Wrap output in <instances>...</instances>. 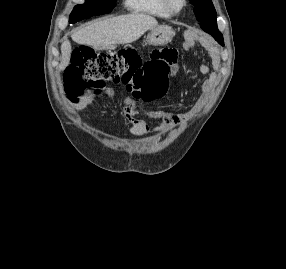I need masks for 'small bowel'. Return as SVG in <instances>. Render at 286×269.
Segmentation results:
<instances>
[{
    "instance_id": "c3829d8e",
    "label": "small bowel",
    "mask_w": 286,
    "mask_h": 269,
    "mask_svg": "<svg viewBox=\"0 0 286 269\" xmlns=\"http://www.w3.org/2000/svg\"><path fill=\"white\" fill-rule=\"evenodd\" d=\"M193 44L194 43L192 40L185 43V49H192ZM206 47L207 50L211 53V55L214 57L217 52L216 48L211 46ZM170 67L173 71H177L179 69L180 64L177 55L171 61ZM216 68V63H212L211 65L203 63L199 66V71L207 77L204 81L201 82L199 87L200 96L196 104L197 108H200L204 104L211 87L215 83L216 74L214 71ZM141 114L158 121L160 128L165 130H172L182 126L189 120L190 117L187 113L166 112L161 109L160 106H156L151 110H147L142 108L141 106L129 103L122 109V115L130 124L129 133L133 137L144 136L149 133V126L145 118L143 116H140Z\"/></svg>"
}]
</instances>
